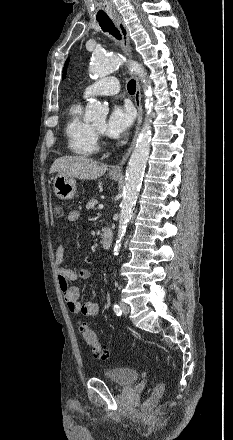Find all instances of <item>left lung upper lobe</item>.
I'll use <instances>...</instances> for the list:
<instances>
[{
	"label": "left lung upper lobe",
	"mask_w": 233,
	"mask_h": 440,
	"mask_svg": "<svg viewBox=\"0 0 233 440\" xmlns=\"http://www.w3.org/2000/svg\"><path fill=\"white\" fill-rule=\"evenodd\" d=\"M67 66H68V60L66 61L64 69H63V78L65 77Z\"/></svg>",
	"instance_id": "1"
}]
</instances>
